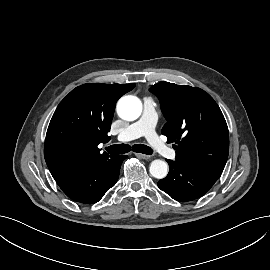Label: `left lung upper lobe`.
<instances>
[{"label":"left lung upper lobe","instance_id":"obj_1","mask_svg":"<svg viewBox=\"0 0 270 270\" xmlns=\"http://www.w3.org/2000/svg\"><path fill=\"white\" fill-rule=\"evenodd\" d=\"M167 123L162 134L175 142L176 160L222 172L229 153L225 118L214 99L200 88L160 82L151 88Z\"/></svg>","mask_w":270,"mask_h":270}]
</instances>
